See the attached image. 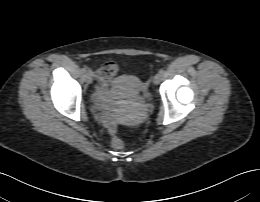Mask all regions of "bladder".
<instances>
[{
    "instance_id": "1",
    "label": "bladder",
    "mask_w": 260,
    "mask_h": 202,
    "mask_svg": "<svg viewBox=\"0 0 260 202\" xmlns=\"http://www.w3.org/2000/svg\"><path fill=\"white\" fill-rule=\"evenodd\" d=\"M141 82L132 75H120L114 79L110 93L117 99L127 102L132 115L142 117L146 110L139 105L138 94Z\"/></svg>"
}]
</instances>
